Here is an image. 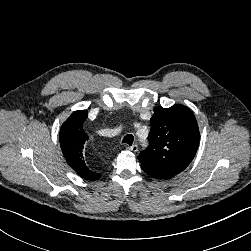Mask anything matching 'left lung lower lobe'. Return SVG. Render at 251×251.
Masks as SVG:
<instances>
[{
    "mask_svg": "<svg viewBox=\"0 0 251 251\" xmlns=\"http://www.w3.org/2000/svg\"><path fill=\"white\" fill-rule=\"evenodd\" d=\"M142 166V165H141ZM143 170L149 174L151 177L155 178V179H170L172 177H174L176 174L170 173V172H163V171H157V170H153L151 168H148L146 166H142Z\"/></svg>",
    "mask_w": 251,
    "mask_h": 251,
    "instance_id": "1",
    "label": "left lung lower lobe"
}]
</instances>
